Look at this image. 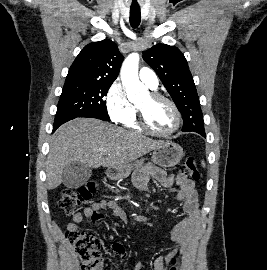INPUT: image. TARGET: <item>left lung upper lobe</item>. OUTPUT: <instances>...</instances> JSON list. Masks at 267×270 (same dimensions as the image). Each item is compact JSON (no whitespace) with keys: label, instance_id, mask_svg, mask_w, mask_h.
<instances>
[{"label":"left lung upper lobe","instance_id":"left-lung-upper-lobe-1","mask_svg":"<svg viewBox=\"0 0 267 270\" xmlns=\"http://www.w3.org/2000/svg\"><path fill=\"white\" fill-rule=\"evenodd\" d=\"M182 114V131L205 133L199 97L187 61L175 46L156 44L143 52Z\"/></svg>","mask_w":267,"mask_h":270}]
</instances>
